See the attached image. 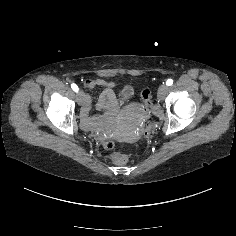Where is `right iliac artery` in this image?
I'll use <instances>...</instances> for the list:
<instances>
[{"mask_svg": "<svg viewBox=\"0 0 236 236\" xmlns=\"http://www.w3.org/2000/svg\"><path fill=\"white\" fill-rule=\"evenodd\" d=\"M71 88L75 91L78 92V86L76 84H71Z\"/></svg>", "mask_w": 236, "mask_h": 236, "instance_id": "right-iliac-artery-1", "label": "right iliac artery"}]
</instances>
